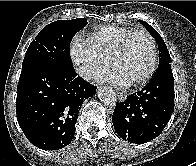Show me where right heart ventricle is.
<instances>
[{
    "label": "right heart ventricle",
    "mask_w": 196,
    "mask_h": 166,
    "mask_svg": "<svg viewBox=\"0 0 196 166\" xmlns=\"http://www.w3.org/2000/svg\"><path fill=\"white\" fill-rule=\"evenodd\" d=\"M133 30L119 26H107L95 31L88 41L102 56L110 61L123 39Z\"/></svg>",
    "instance_id": "obj_1"
}]
</instances>
